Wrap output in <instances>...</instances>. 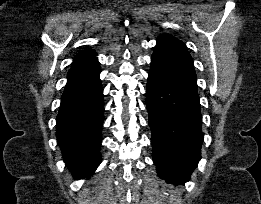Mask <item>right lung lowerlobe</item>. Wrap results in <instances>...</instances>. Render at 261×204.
I'll use <instances>...</instances> for the list:
<instances>
[{"label": "right lung lower lobe", "mask_w": 261, "mask_h": 204, "mask_svg": "<svg viewBox=\"0 0 261 204\" xmlns=\"http://www.w3.org/2000/svg\"><path fill=\"white\" fill-rule=\"evenodd\" d=\"M97 58L73 65L56 119L57 139L74 179L90 176L101 162L104 102Z\"/></svg>", "instance_id": "1"}]
</instances>
